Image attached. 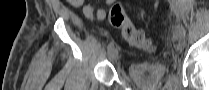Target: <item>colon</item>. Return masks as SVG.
I'll use <instances>...</instances> for the list:
<instances>
[{
    "instance_id": "1",
    "label": "colon",
    "mask_w": 209,
    "mask_h": 90,
    "mask_svg": "<svg viewBox=\"0 0 209 90\" xmlns=\"http://www.w3.org/2000/svg\"><path fill=\"white\" fill-rule=\"evenodd\" d=\"M111 24L121 31L122 37L133 47L152 52L154 45L145 33L137 29L123 12L121 4H114L109 11Z\"/></svg>"
}]
</instances>
